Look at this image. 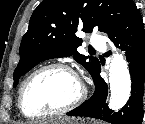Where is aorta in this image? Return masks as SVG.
Returning <instances> with one entry per match:
<instances>
[{
    "instance_id": "aorta-1",
    "label": "aorta",
    "mask_w": 145,
    "mask_h": 124,
    "mask_svg": "<svg viewBox=\"0 0 145 124\" xmlns=\"http://www.w3.org/2000/svg\"><path fill=\"white\" fill-rule=\"evenodd\" d=\"M109 83L111 96L109 107L112 110L121 109L131 95V77L127 62L122 54H114L110 63Z\"/></svg>"
}]
</instances>
